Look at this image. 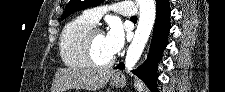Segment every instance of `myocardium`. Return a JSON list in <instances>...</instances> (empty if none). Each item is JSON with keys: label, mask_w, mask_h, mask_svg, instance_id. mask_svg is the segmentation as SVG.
<instances>
[{"label": "myocardium", "mask_w": 225, "mask_h": 92, "mask_svg": "<svg viewBox=\"0 0 225 92\" xmlns=\"http://www.w3.org/2000/svg\"><path fill=\"white\" fill-rule=\"evenodd\" d=\"M102 32H103L102 29H100L98 27H92L91 29H89L86 32V34L83 37V41H82V51H83L84 58L90 67L96 68V69L109 68L115 62V59L112 58L111 60H109L106 63H98L93 56L92 45H93L94 36L96 34L102 33Z\"/></svg>", "instance_id": "myocardium-1"}]
</instances>
